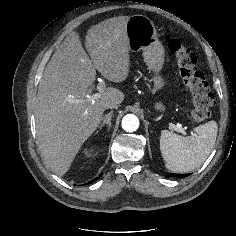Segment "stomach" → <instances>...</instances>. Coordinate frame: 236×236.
Returning a JSON list of instances; mask_svg holds the SVG:
<instances>
[{
    "mask_svg": "<svg viewBox=\"0 0 236 236\" xmlns=\"http://www.w3.org/2000/svg\"><path fill=\"white\" fill-rule=\"evenodd\" d=\"M126 32L130 51H142L148 70L153 72L154 89L161 90L166 83L165 79L160 75L164 65L165 50L157 37L154 23L146 16L134 15L129 17L127 21ZM153 107L159 113L166 111V105L161 100L155 101Z\"/></svg>",
    "mask_w": 236,
    "mask_h": 236,
    "instance_id": "obj_1",
    "label": "stomach"
}]
</instances>
